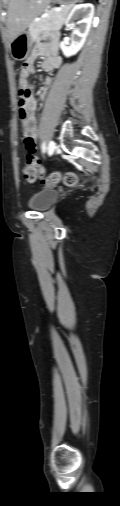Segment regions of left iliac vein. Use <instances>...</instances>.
I'll return each mask as SVG.
<instances>
[{"label": "left iliac vein", "instance_id": "1", "mask_svg": "<svg viewBox=\"0 0 120 506\" xmlns=\"http://www.w3.org/2000/svg\"><path fill=\"white\" fill-rule=\"evenodd\" d=\"M47 150H48L49 155L53 154L54 151L56 150V143L53 140H51L49 142Z\"/></svg>", "mask_w": 120, "mask_h": 506}]
</instances>
